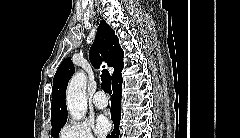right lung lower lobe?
<instances>
[{
  "instance_id": "98d812e1",
  "label": "right lung lower lobe",
  "mask_w": 240,
  "mask_h": 138,
  "mask_svg": "<svg viewBox=\"0 0 240 138\" xmlns=\"http://www.w3.org/2000/svg\"><path fill=\"white\" fill-rule=\"evenodd\" d=\"M113 95L111 97V119L114 122V130L107 138H119V123L121 119V88L122 80L112 84Z\"/></svg>"
}]
</instances>
